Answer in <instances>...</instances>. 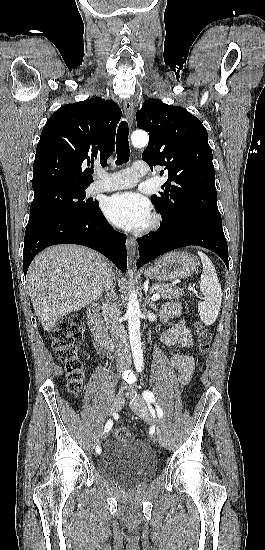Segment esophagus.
Segmentation results:
<instances>
[{
    "label": "esophagus",
    "instance_id": "esophagus-1",
    "mask_svg": "<svg viewBox=\"0 0 265 550\" xmlns=\"http://www.w3.org/2000/svg\"><path fill=\"white\" fill-rule=\"evenodd\" d=\"M124 114L129 126L133 124V102L131 99H126L123 104ZM127 245L132 250L135 246V239L132 237L127 238Z\"/></svg>",
    "mask_w": 265,
    "mask_h": 550
}]
</instances>
